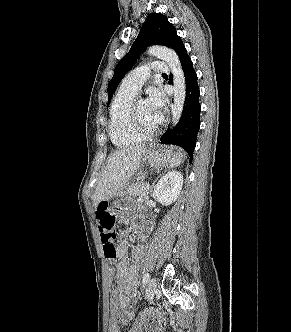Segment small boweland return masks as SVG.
<instances>
[{
  "label": "small bowel",
  "instance_id": "obj_1",
  "mask_svg": "<svg viewBox=\"0 0 291 332\" xmlns=\"http://www.w3.org/2000/svg\"><path fill=\"white\" fill-rule=\"evenodd\" d=\"M123 221V220H122ZM133 229L136 233L141 234V226L135 224ZM122 243L117 247V257L120 259L115 269V277L117 281L116 289L111 293L110 302L114 312L122 320H131L135 314L130 309L131 301L136 297V281L139 269V261L144 254V247L138 245L132 249V263L129 265L126 259L127 255V234L121 235ZM139 330H131L129 332H137Z\"/></svg>",
  "mask_w": 291,
  "mask_h": 332
}]
</instances>
